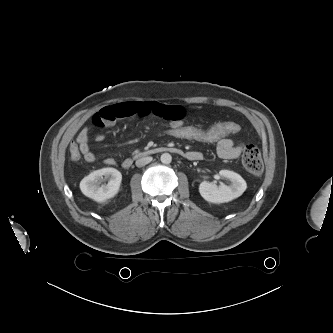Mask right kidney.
<instances>
[{"instance_id":"1","label":"right kidney","mask_w":333,"mask_h":333,"mask_svg":"<svg viewBox=\"0 0 333 333\" xmlns=\"http://www.w3.org/2000/svg\"><path fill=\"white\" fill-rule=\"evenodd\" d=\"M103 176L108 183L100 186ZM121 181L122 175L117 169L102 168L84 177L80 182V189L85 196L97 202H104L118 193Z\"/></svg>"}]
</instances>
